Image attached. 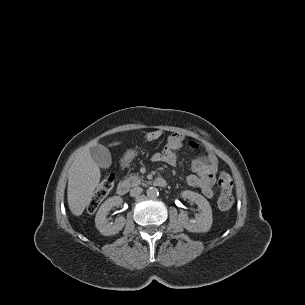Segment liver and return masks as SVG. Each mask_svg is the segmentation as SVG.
I'll return each mask as SVG.
<instances>
[{
  "label": "liver",
  "instance_id": "liver-1",
  "mask_svg": "<svg viewBox=\"0 0 305 305\" xmlns=\"http://www.w3.org/2000/svg\"><path fill=\"white\" fill-rule=\"evenodd\" d=\"M117 144L119 142L110 145ZM95 145L97 141L92 140L77 149L75 159L68 170V205L75 216H80L84 212L100 182V169L90 154V147Z\"/></svg>",
  "mask_w": 305,
  "mask_h": 305
}]
</instances>
